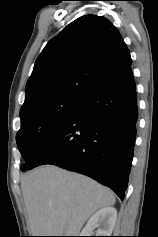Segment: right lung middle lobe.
<instances>
[{
    "mask_svg": "<svg viewBox=\"0 0 158 237\" xmlns=\"http://www.w3.org/2000/svg\"><path fill=\"white\" fill-rule=\"evenodd\" d=\"M83 101L55 98L21 113V128L16 139L27 166L40 145L61 127L82 105Z\"/></svg>",
    "mask_w": 158,
    "mask_h": 237,
    "instance_id": "1",
    "label": "right lung middle lobe"
}]
</instances>
